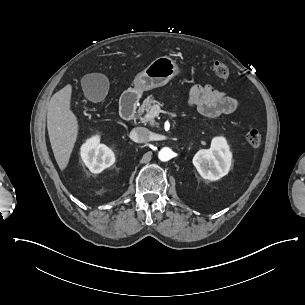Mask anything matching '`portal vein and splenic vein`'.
Listing matches in <instances>:
<instances>
[{
	"mask_svg": "<svg viewBox=\"0 0 305 305\" xmlns=\"http://www.w3.org/2000/svg\"><path fill=\"white\" fill-rule=\"evenodd\" d=\"M158 113H160V108L159 106L157 105H154L152 108H151V114L154 115V116H157ZM140 120L141 121H150L151 118L148 116V115H144L143 117H140Z\"/></svg>",
	"mask_w": 305,
	"mask_h": 305,
	"instance_id": "18ae733b",
	"label": "portal vein and splenic vein"
}]
</instances>
